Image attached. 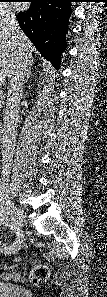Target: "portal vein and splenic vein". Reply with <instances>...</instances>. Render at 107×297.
<instances>
[{
    "label": "portal vein and splenic vein",
    "mask_w": 107,
    "mask_h": 297,
    "mask_svg": "<svg viewBox=\"0 0 107 297\" xmlns=\"http://www.w3.org/2000/svg\"><path fill=\"white\" fill-rule=\"evenodd\" d=\"M5 79V75L0 74V81L3 82Z\"/></svg>",
    "instance_id": "portal-vein-and-splenic-vein-1"
}]
</instances>
